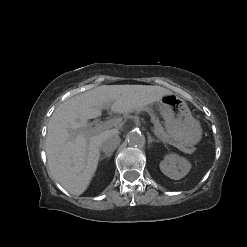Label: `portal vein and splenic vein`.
Listing matches in <instances>:
<instances>
[{"label":"portal vein and splenic vein","mask_w":247,"mask_h":247,"mask_svg":"<svg viewBox=\"0 0 247 247\" xmlns=\"http://www.w3.org/2000/svg\"><path fill=\"white\" fill-rule=\"evenodd\" d=\"M121 122L120 119H112V120H108L104 123H97L96 126L92 129H87V128H84V131H91V132H99L101 131L102 129H105V128H110L112 126H116V125H119ZM154 132L155 135H157L156 131L155 130H152ZM163 141V140H162ZM173 145V144H172Z\"/></svg>","instance_id":"obj_1"}]
</instances>
